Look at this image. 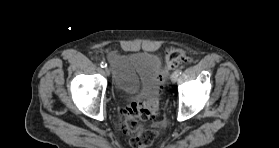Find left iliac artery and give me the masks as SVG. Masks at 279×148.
<instances>
[{
	"label": "left iliac artery",
	"mask_w": 279,
	"mask_h": 148,
	"mask_svg": "<svg viewBox=\"0 0 279 148\" xmlns=\"http://www.w3.org/2000/svg\"><path fill=\"white\" fill-rule=\"evenodd\" d=\"M176 73H177V75L179 76V75L182 74V71H181L180 69H178V70L176 71Z\"/></svg>",
	"instance_id": "left-iliac-artery-1"
}]
</instances>
